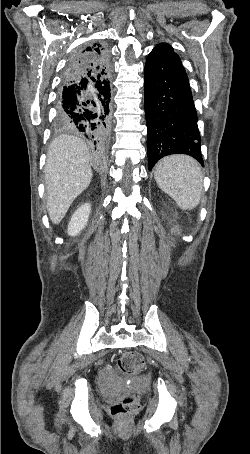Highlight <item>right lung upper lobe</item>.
I'll list each match as a JSON object with an SVG mask.
<instances>
[{
    "instance_id": "obj_1",
    "label": "right lung upper lobe",
    "mask_w": 250,
    "mask_h": 454,
    "mask_svg": "<svg viewBox=\"0 0 250 454\" xmlns=\"http://www.w3.org/2000/svg\"><path fill=\"white\" fill-rule=\"evenodd\" d=\"M101 59H102V56L100 54H97V56H94L93 60H90L88 63H85V64H86V66L91 67L96 73H102V71H104L105 69L107 70V69L110 68V60H108V62L104 63V62H101ZM84 66L85 65H83L80 62H78L75 67H73L72 69H70L68 71L70 73H72V72H74V71H76L79 68H82Z\"/></svg>"
}]
</instances>
